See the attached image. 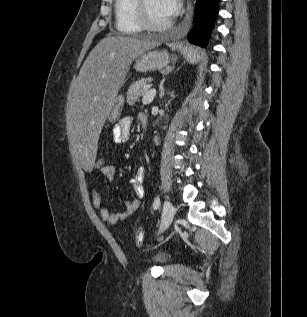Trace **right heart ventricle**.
<instances>
[{"label":"right heart ventricle","mask_w":307,"mask_h":317,"mask_svg":"<svg viewBox=\"0 0 307 317\" xmlns=\"http://www.w3.org/2000/svg\"><path fill=\"white\" fill-rule=\"evenodd\" d=\"M114 12L119 33L135 34L142 30L136 12V0H114Z\"/></svg>","instance_id":"e07e8e85"}]
</instances>
